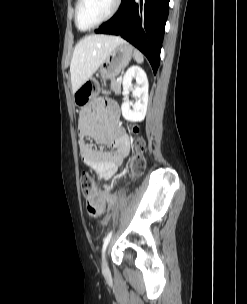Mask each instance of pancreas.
Segmentation results:
<instances>
[{
	"mask_svg": "<svg viewBox=\"0 0 247 304\" xmlns=\"http://www.w3.org/2000/svg\"><path fill=\"white\" fill-rule=\"evenodd\" d=\"M110 90L115 94H119L121 90V81H111ZM102 93L108 95L110 94V91L102 90Z\"/></svg>",
	"mask_w": 247,
	"mask_h": 304,
	"instance_id": "cf45deb5",
	"label": "pancreas"
}]
</instances>
